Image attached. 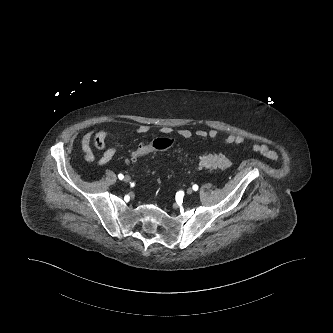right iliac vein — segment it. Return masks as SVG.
<instances>
[{
	"label": "right iliac vein",
	"instance_id": "right-iliac-vein-1",
	"mask_svg": "<svg viewBox=\"0 0 333 333\" xmlns=\"http://www.w3.org/2000/svg\"><path fill=\"white\" fill-rule=\"evenodd\" d=\"M130 180H131L130 176L127 175L124 177V182L128 183L130 182Z\"/></svg>",
	"mask_w": 333,
	"mask_h": 333
}]
</instances>
